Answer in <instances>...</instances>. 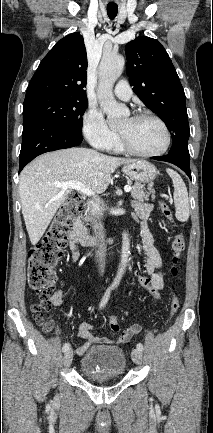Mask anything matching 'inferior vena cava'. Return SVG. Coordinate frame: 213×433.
Segmentation results:
<instances>
[{
	"mask_svg": "<svg viewBox=\"0 0 213 433\" xmlns=\"http://www.w3.org/2000/svg\"><path fill=\"white\" fill-rule=\"evenodd\" d=\"M88 207L92 210L95 215L93 219V227L94 233L97 237V247L98 251L96 252V258L100 266L101 273L104 272L105 267V257H106V245L103 242L105 238L104 227L101 223V218L103 217L102 208L99 206L97 202L89 201Z\"/></svg>",
	"mask_w": 213,
	"mask_h": 433,
	"instance_id": "1",
	"label": "inferior vena cava"
}]
</instances>
